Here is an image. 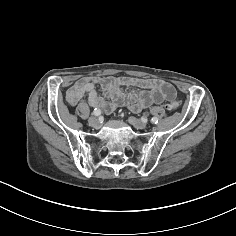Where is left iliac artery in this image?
Masks as SVG:
<instances>
[{"mask_svg": "<svg viewBox=\"0 0 236 236\" xmlns=\"http://www.w3.org/2000/svg\"><path fill=\"white\" fill-rule=\"evenodd\" d=\"M150 122H151L152 124H156V123H158V118H157V117H153V118L150 120Z\"/></svg>", "mask_w": 236, "mask_h": 236, "instance_id": "obj_1", "label": "left iliac artery"}]
</instances>
